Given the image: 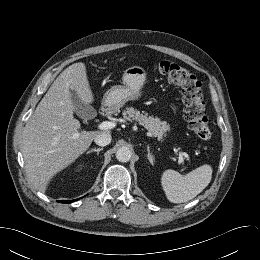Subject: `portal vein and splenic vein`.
<instances>
[{"instance_id":"1","label":"portal vein and splenic vein","mask_w":260,"mask_h":260,"mask_svg":"<svg viewBox=\"0 0 260 260\" xmlns=\"http://www.w3.org/2000/svg\"><path fill=\"white\" fill-rule=\"evenodd\" d=\"M115 126H116V123H114V122L104 121V122H102V123H100V124L98 125V128H99L100 130H109V129H113ZM183 156H184L185 158H188V155H187L186 153L180 152V153H179V157H178V159H179V160H178V163H179V164H182V163H183V161H184Z\"/></svg>"}]
</instances>
